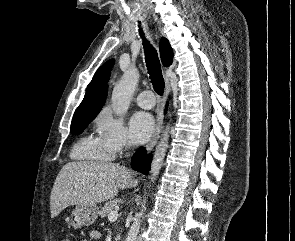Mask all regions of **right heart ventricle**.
<instances>
[{"instance_id": "right-heart-ventricle-1", "label": "right heart ventricle", "mask_w": 295, "mask_h": 241, "mask_svg": "<svg viewBox=\"0 0 295 241\" xmlns=\"http://www.w3.org/2000/svg\"><path fill=\"white\" fill-rule=\"evenodd\" d=\"M71 156L76 160L106 161L112 156L106 150L99 138L86 136L73 147Z\"/></svg>"}]
</instances>
